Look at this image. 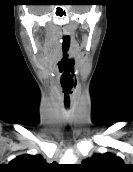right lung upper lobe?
<instances>
[{"label":"right lung upper lobe","mask_w":133,"mask_h":172,"mask_svg":"<svg viewBox=\"0 0 133 172\" xmlns=\"http://www.w3.org/2000/svg\"><path fill=\"white\" fill-rule=\"evenodd\" d=\"M9 172H44L46 161L41 155H21L10 161L5 167Z\"/></svg>","instance_id":"obj_1"}]
</instances>
